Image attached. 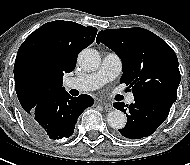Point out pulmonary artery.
<instances>
[{"label":"pulmonary artery","instance_id":"pulmonary-artery-1","mask_svg":"<svg viewBox=\"0 0 190 165\" xmlns=\"http://www.w3.org/2000/svg\"><path fill=\"white\" fill-rule=\"evenodd\" d=\"M121 71V58L115 53H108L104 56L96 72L69 78L66 80L65 86L69 89H77L80 91H93L114 80ZM126 102L132 104L134 102V96L132 94L128 95Z\"/></svg>","mask_w":190,"mask_h":165}]
</instances>
